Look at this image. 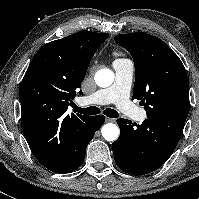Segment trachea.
Segmentation results:
<instances>
[{
    "label": "trachea",
    "mask_w": 199,
    "mask_h": 199,
    "mask_svg": "<svg viewBox=\"0 0 199 199\" xmlns=\"http://www.w3.org/2000/svg\"><path fill=\"white\" fill-rule=\"evenodd\" d=\"M74 111L81 113V114H86V115H96L100 113V109L98 107L92 106V107H87V108H80L76 106L75 104L73 105ZM104 114L107 117L110 118H117L119 116L118 112L114 109L107 108L104 110Z\"/></svg>",
    "instance_id": "1"
}]
</instances>
